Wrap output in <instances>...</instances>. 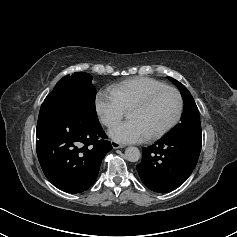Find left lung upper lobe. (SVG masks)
Returning a JSON list of instances; mask_svg holds the SVG:
<instances>
[{
  "label": "left lung upper lobe",
  "instance_id": "1",
  "mask_svg": "<svg viewBox=\"0 0 237 237\" xmlns=\"http://www.w3.org/2000/svg\"><path fill=\"white\" fill-rule=\"evenodd\" d=\"M169 79L178 87L184 101V112L179 123L166 137L173 138L190 134H201V123L199 119L198 108L187 88L179 81L169 77Z\"/></svg>",
  "mask_w": 237,
  "mask_h": 237
}]
</instances>
